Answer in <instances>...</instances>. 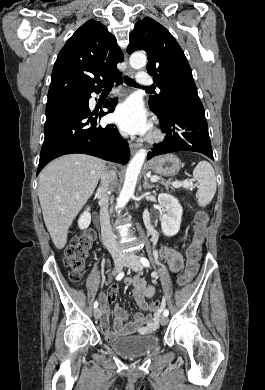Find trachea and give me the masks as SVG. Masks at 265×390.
Returning <instances> with one entry per match:
<instances>
[{"label":"trachea","instance_id":"obj_1","mask_svg":"<svg viewBox=\"0 0 265 390\" xmlns=\"http://www.w3.org/2000/svg\"><path fill=\"white\" fill-rule=\"evenodd\" d=\"M125 83L128 85V86H133V87H141L139 84H137L133 79H131L130 77H125ZM113 86V83L110 82L108 83L107 87H112Z\"/></svg>","mask_w":265,"mask_h":390}]
</instances>
